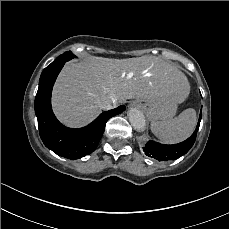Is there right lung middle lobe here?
<instances>
[{
	"label": "right lung middle lobe",
	"mask_w": 229,
	"mask_h": 229,
	"mask_svg": "<svg viewBox=\"0 0 229 229\" xmlns=\"http://www.w3.org/2000/svg\"><path fill=\"white\" fill-rule=\"evenodd\" d=\"M75 55H73L70 51L63 53L62 55H60L58 58H56L50 65H54L57 64L58 62L61 61H69L72 58H74Z\"/></svg>",
	"instance_id": "dd1d6c3e"
}]
</instances>
